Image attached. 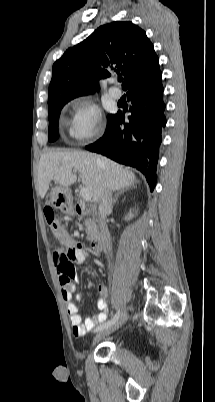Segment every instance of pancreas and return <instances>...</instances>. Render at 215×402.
Instances as JSON below:
<instances>
[{
    "instance_id": "pancreas-1",
    "label": "pancreas",
    "mask_w": 215,
    "mask_h": 402,
    "mask_svg": "<svg viewBox=\"0 0 215 402\" xmlns=\"http://www.w3.org/2000/svg\"><path fill=\"white\" fill-rule=\"evenodd\" d=\"M82 220V217L79 218ZM87 233V240H94L98 236L97 220L94 217L86 218L84 221Z\"/></svg>"
}]
</instances>
